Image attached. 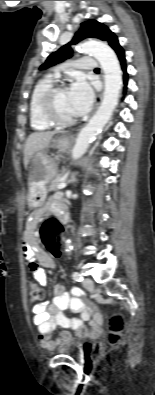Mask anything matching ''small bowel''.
<instances>
[{"instance_id":"small-bowel-1","label":"small bowel","mask_w":155,"mask_h":395,"mask_svg":"<svg viewBox=\"0 0 155 395\" xmlns=\"http://www.w3.org/2000/svg\"><path fill=\"white\" fill-rule=\"evenodd\" d=\"M60 194L54 195L42 208L34 212L30 218V229L23 244V255L28 261L33 278L41 285L47 283V274L44 267L54 268L53 259L46 254L34 241L33 229L36 224L49 214H57L63 208ZM54 299L51 304H36L33 309V323L39 332V341L43 348L52 349L57 344L72 339V329L77 337L96 336L101 332L102 317L87 306L81 299V292L73 289L68 293L64 286L58 285L54 290ZM71 310L79 315L70 318L64 314L65 310ZM90 322V328L85 325ZM60 326L61 331L58 338L52 340V334Z\"/></svg>"}]
</instances>
